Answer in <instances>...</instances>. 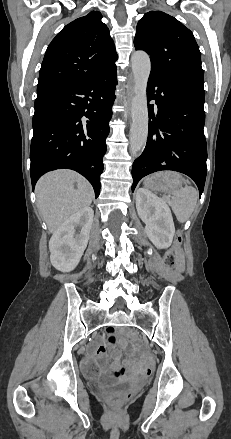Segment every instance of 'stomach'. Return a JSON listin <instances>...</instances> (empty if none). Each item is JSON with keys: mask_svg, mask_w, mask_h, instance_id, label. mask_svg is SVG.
<instances>
[{"mask_svg": "<svg viewBox=\"0 0 231 439\" xmlns=\"http://www.w3.org/2000/svg\"><path fill=\"white\" fill-rule=\"evenodd\" d=\"M183 183H185L184 178L171 171L155 173L145 179V185L158 192H173L178 190Z\"/></svg>", "mask_w": 231, "mask_h": 439, "instance_id": "1", "label": "stomach"}]
</instances>
